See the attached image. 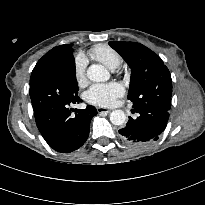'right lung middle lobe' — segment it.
Masks as SVG:
<instances>
[{
	"label": "right lung middle lobe",
	"mask_w": 205,
	"mask_h": 205,
	"mask_svg": "<svg viewBox=\"0 0 205 205\" xmlns=\"http://www.w3.org/2000/svg\"><path fill=\"white\" fill-rule=\"evenodd\" d=\"M67 68H68V70H70L71 72H72V74L74 75V77L76 78V71H75V60H72L70 63H68V65H67ZM52 69H54L52 66H46L45 68H44V72L42 73V74H44V73H46V72H48V71H50V70H52ZM41 74V75H42ZM40 75V76H41Z\"/></svg>",
	"instance_id": "right-lung-middle-lobe-1"
}]
</instances>
